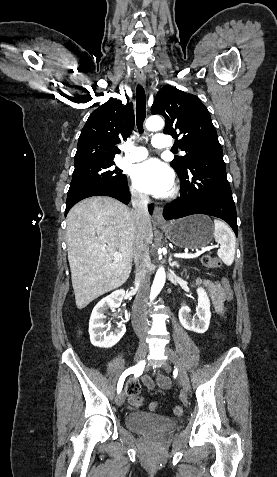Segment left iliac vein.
<instances>
[{
  "label": "left iliac vein",
  "mask_w": 277,
  "mask_h": 477,
  "mask_svg": "<svg viewBox=\"0 0 277 477\" xmlns=\"http://www.w3.org/2000/svg\"><path fill=\"white\" fill-rule=\"evenodd\" d=\"M165 354L168 356L169 360L176 366L178 370L179 380L181 382L182 388L184 392H189L190 390V382L185 367L183 366L182 362L180 361L176 352L171 349L170 347L165 348ZM168 369L167 366L164 367Z\"/></svg>",
  "instance_id": "left-iliac-vein-1"
}]
</instances>
